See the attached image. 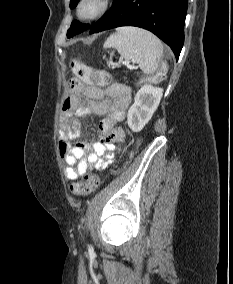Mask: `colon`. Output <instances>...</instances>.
<instances>
[{"instance_id": "5ec220e1", "label": "colon", "mask_w": 233, "mask_h": 284, "mask_svg": "<svg viewBox=\"0 0 233 284\" xmlns=\"http://www.w3.org/2000/svg\"><path fill=\"white\" fill-rule=\"evenodd\" d=\"M75 76L89 84L106 86L111 82L110 74L105 70H94L78 59L71 62ZM168 72L167 63H163L153 77V83H159L165 79ZM100 184L98 176L91 173H84L80 181L73 183L70 190L75 195H86L94 192Z\"/></svg>"}]
</instances>
